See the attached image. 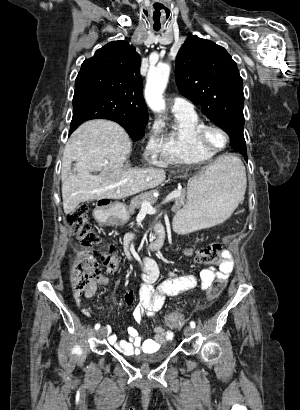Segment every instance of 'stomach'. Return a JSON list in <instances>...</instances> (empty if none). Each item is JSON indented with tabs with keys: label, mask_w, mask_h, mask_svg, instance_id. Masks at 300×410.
I'll list each match as a JSON object with an SVG mask.
<instances>
[{
	"label": "stomach",
	"mask_w": 300,
	"mask_h": 410,
	"mask_svg": "<svg viewBox=\"0 0 300 410\" xmlns=\"http://www.w3.org/2000/svg\"><path fill=\"white\" fill-rule=\"evenodd\" d=\"M231 158L223 167H208L189 180L187 202L174 219L179 233L210 228L231 216L241 194L236 169L228 168ZM103 212L109 219L126 222L129 218V211L121 203Z\"/></svg>",
	"instance_id": "0dacf381"
}]
</instances>
